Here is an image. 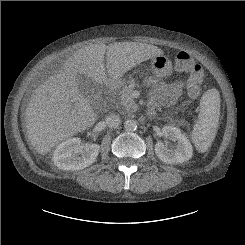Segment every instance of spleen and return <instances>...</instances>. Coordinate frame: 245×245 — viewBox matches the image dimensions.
Segmentation results:
<instances>
[{"label":"spleen","mask_w":245,"mask_h":245,"mask_svg":"<svg viewBox=\"0 0 245 245\" xmlns=\"http://www.w3.org/2000/svg\"><path fill=\"white\" fill-rule=\"evenodd\" d=\"M220 117V94L207 90L200 101L198 121L193 127L192 141L199 152H205L215 138Z\"/></svg>","instance_id":"3e777b00"}]
</instances>
